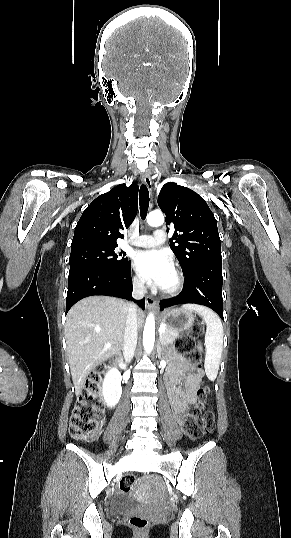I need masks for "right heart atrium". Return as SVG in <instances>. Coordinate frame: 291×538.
Returning a JSON list of instances; mask_svg holds the SVG:
<instances>
[{
    "label": "right heart atrium",
    "mask_w": 291,
    "mask_h": 538,
    "mask_svg": "<svg viewBox=\"0 0 291 538\" xmlns=\"http://www.w3.org/2000/svg\"><path fill=\"white\" fill-rule=\"evenodd\" d=\"M133 283H134V286L138 289H142L143 288V282L140 278L138 277H134L133 278Z\"/></svg>",
    "instance_id": "d8ad5b80"
}]
</instances>
